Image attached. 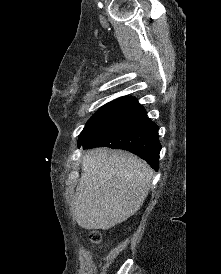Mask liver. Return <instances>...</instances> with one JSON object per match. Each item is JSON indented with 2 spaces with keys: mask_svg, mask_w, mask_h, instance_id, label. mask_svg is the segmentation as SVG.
<instances>
[{
  "mask_svg": "<svg viewBox=\"0 0 221 274\" xmlns=\"http://www.w3.org/2000/svg\"><path fill=\"white\" fill-rule=\"evenodd\" d=\"M152 178L151 167L129 152L89 150L82 158L73 216L85 229L108 230L140 209Z\"/></svg>",
  "mask_w": 221,
  "mask_h": 274,
  "instance_id": "liver-1",
  "label": "liver"
}]
</instances>
